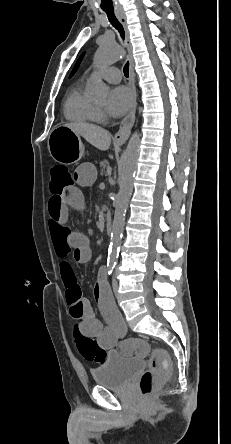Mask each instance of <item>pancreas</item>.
<instances>
[{
	"label": "pancreas",
	"mask_w": 231,
	"mask_h": 444,
	"mask_svg": "<svg viewBox=\"0 0 231 444\" xmlns=\"http://www.w3.org/2000/svg\"><path fill=\"white\" fill-rule=\"evenodd\" d=\"M107 168H109V162L107 160H102L100 162V171H101V173L103 174Z\"/></svg>",
	"instance_id": "1"
}]
</instances>
